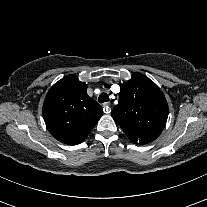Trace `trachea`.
Listing matches in <instances>:
<instances>
[{"label": "trachea", "mask_w": 207, "mask_h": 207, "mask_svg": "<svg viewBox=\"0 0 207 207\" xmlns=\"http://www.w3.org/2000/svg\"><path fill=\"white\" fill-rule=\"evenodd\" d=\"M98 101H99V103L107 102V101H109V96L106 93H102L99 95Z\"/></svg>", "instance_id": "trachea-1"}]
</instances>
